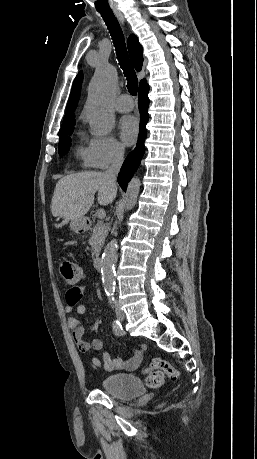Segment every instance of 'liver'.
Returning <instances> with one entry per match:
<instances>
[{
  "instance_id": "obj_1",
  "label": "liver",
  "mask_w": 257,
  "mask_h": 459,
  "mask_svg": "<svg viewBox=\"0 0 257 459\" xmlns=\"http://www.w3.org/2000/svg\"><path fill=\"white\" fill-rule=\"evenodd\" d=\"M96 192L99 204L106 206L116 197L117 188L112 187L103 172H80L61 178L54 190L51 212L54 217L64 220L55 227L60 228L69 221L83 218L93 205Z\"/></svg>"
}]
</instances>
